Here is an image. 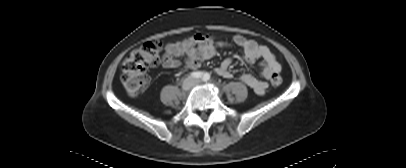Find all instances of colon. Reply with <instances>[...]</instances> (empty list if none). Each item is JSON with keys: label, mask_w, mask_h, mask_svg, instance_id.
Listing matches in <instances>:
<instances>
[{"label": "colon", "mask_w": 406, "mask_h": 168, "mask_svg": "<svg viewBox=\"0 0 406 168\" xmlns=\"http://www.w3.org/2000/svg\"><path fill=\"white\" fill-rule=\"evenodd\" d=\"M162 42L151 39L131 52L124 60L121 67L120 80L130 96L140 94L148 85V69L160 63ZM271 83L279 86L282 77L278 73L271 76Z\"/></svg>", "instance_id": "5ec220e1"}]
</instances>
